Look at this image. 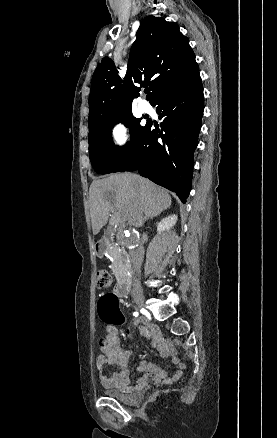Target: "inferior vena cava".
<instances>
[{
  "mask_svg": "<svg viewBox=\"0 0 277 438\" xmlns=\"http://www.w3.org/2000/svg\"><path fill=\"white\" fill-rule=\"evenodd\" d=\"M133 268L135 272H139L142 264V260H132ZM133 286V292H136V290H141V286L137 280V278H134V282L132 284Z\"/></svg>",
  "mask_w": 277,
  "mask_h": 438,
  "instance_id": "inferior-vena-cava-1",
  "label": "inferior vena cava"
}]
</instances>
